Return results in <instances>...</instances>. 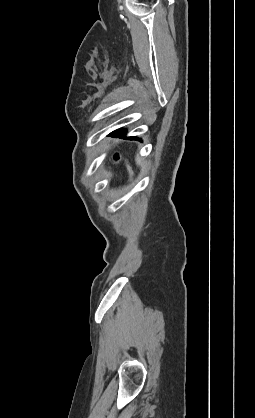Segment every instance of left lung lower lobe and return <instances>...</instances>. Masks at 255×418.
Masks as SVG:
<instances>
[{
	"label": "left lung lower lobe",
	"instance_id": "obj_1",
	"mask_svg": "<svg viewBox=\"0 0 255 418\" xmlns=\"http://www.w3.org/2000/svg\"><path fill=\"white\" fill-rule=\"evenodd\" d=\"M110 135L112 136H116V137H123V138H127V139H138L137 137H125L126 135V130H116L114 132H112Z\"/></svg>",
	"mask_w": 255,
	"mask_h": 418
}]
</instances>
